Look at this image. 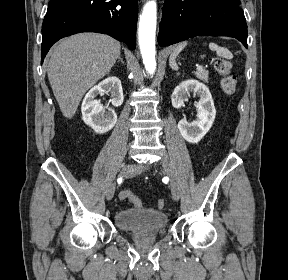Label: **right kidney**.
Here are the masks:
<instances>
[{
  "label": "right kidney",
  "mask_w": 288,
  "mask_h": 280,
  "mask_svg": "<svg viewBox=\"0 0 288 280\" xmlns=\"http://www.w3.org/2000/svg\"><path fill=\"white\" fill-rule=\"evenodd\" d=\"M110 93V102L114 107L122 105L124 96L121 81L117 77H108L90 89L85 95L82 106V118L85 124L96 133L103 134L111 130L117 121V115L112 108H107L95 100L97 95Z\"/></svg>",
  "instance_id": "1"
}]
</instances>
